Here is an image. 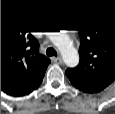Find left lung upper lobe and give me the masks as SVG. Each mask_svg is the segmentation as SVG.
<instances>
[{"label":"left lung upper lobe","instance_id":"5c2ea615","mask_svg":"<svg viewBox=\"0 0 115 114\" xmlns=\"http://www.w3.org/2000/svg\"><path fill=\"white\" fill-rule=\"evenodd\" d=\"M80 63L68 68L70 81L107 87L115 80V18H90L75 27Z\"/></svg>","mask_w":115,"mask_h":114}]
</instances>
